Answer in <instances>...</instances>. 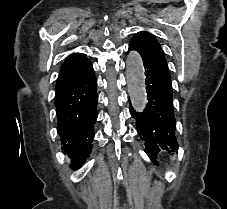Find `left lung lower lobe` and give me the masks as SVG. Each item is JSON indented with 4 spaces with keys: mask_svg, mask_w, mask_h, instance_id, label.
Wrapping results in <instances>:
<instances>
[{
    "mask_svg": "<svg viewBox=\"0 0 227 209\" xmlns=\"http://www.w3.org/2000/svg\"><path fill=\"white\" fill-rule=\"evenodd\" d=\"M134 50L131 46L129 51ZM146 75L148 103L142 113L136 112L130 105L132 117L141 139L145 142L146 151L153 163L161 150L178 149L175 137V117L172 100V85L168 75L159 68L143 63Z\"/></svg>",
    "mask_w": 227,
    "mask_h": 209,
    "instance_id": "1",
    "label": "left lung lower lobe"
}]
</instances>
